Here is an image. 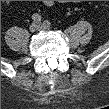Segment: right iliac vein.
Here are the masks:
<instances>
[{"instance_id": "63e3f726", "label": "right iliac vein", "mask_w": 109, "mask_h": 109, "mask_svg": "<svg viewBox=\"0 0 109 109\" xmlns=\"http://www.w3.org/2000/svg\"><path fill=\"white\" fill-rule=\"evenodd\" d=\"M30 31L34 32L39 29V25L37 23H32L29 27Z\"/></svg>"}]
</instances>
